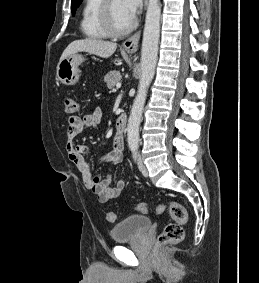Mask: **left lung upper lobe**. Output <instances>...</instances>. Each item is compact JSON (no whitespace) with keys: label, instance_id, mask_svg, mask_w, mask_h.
<instances>
[{"label":"left lung upper lobe","instance_id":"obj_1","mask_svg":"<svg viewBox=\"0 0 259 283\" xmlns=\"http://www.w3.org/2000/svg\"><path fill=\"white\" fill-rule=\"evenodd\" d=\"M82 0H72L71 2V11L72 15L75 14L77 7L81 4Z\"/></svg>","mask_w":259,"mask_h":283}]
</instances>
